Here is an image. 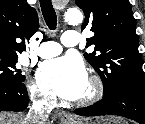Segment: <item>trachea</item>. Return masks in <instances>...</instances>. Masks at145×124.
<instances>
[{
  "label": "trachea",
  "instance_id": "3493384b",
  "mask_svg": "<svg viewBox=\"0 0 145 124\" xmlns=\"http://www.w3.org/2000/svg\"><path fill=\"white\" fill-rule=\"evenodd\" d=\"M40 7L47 26L50 30H55L57 26V16L51 0H40Z\"/></svg>",
  "mask_w": 145,
  "mask_h": 124
}]
</instances>
